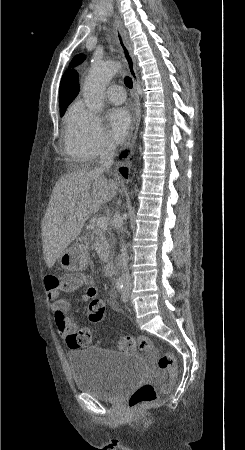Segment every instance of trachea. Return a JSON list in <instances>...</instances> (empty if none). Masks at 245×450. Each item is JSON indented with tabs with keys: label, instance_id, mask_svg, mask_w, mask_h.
<instances>
[{
	"label": "trachea",
	"instance_id": "3493384b",
	"mask_svg": "<svg viewBox=\"0 0 245 450\" xmlns=\"http://www.w3.org/2000/svg\"><path fill=\"white\" fill-rule=\"evenodd\" d=\"M124 82H125V84H126V86L128 88H130V89L132 88L133 82H132V79L129 76L125 77Z\"/></svg>",
	"mask_w": 245,
	"mask_h": 450
}]
</instances>
